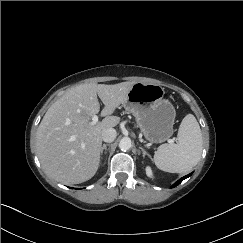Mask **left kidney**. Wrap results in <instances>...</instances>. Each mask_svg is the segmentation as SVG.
Returning <instances> with one entry per match:
<instances>
[{
    "label": "left kidney",
    "mask_w": 243,
    "mask_h": 243,
    "mask_svg": "<svg viewBox=\"0 0 243 243\" xmlns=\"http://www.w3.org/2000/svg\"><path fill=\"white\" fill-rule=\"evenodd\" d=\"M145 170H146V174H147L148 177H150V178H153L154 177L153 176L152 169H151L150 166H147Z\"/></svg>",
    "instance_id": "obj_1"
}]
</instances>
